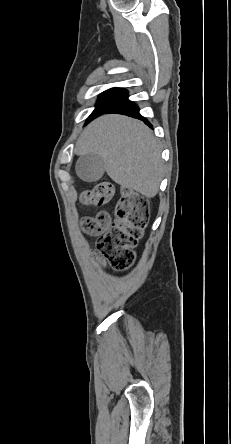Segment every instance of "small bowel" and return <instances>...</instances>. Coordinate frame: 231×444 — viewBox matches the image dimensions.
I'll return each mask as SVG.
<instances>
[{"mask_svg": "<svg viewBox=\"0 0 231 444\" xmlns=\"http://www.w3.org/2000/svg\"><path fill=\"white\" fill-rule=\"evenodd\" d=\"M96 257H97V259H98L100 262H103V258H102L101 256L96 255Z\"/></svg>", "mask_w": 231, "mask_h": 444, "instance_id": "c3829d8e", "label": "small bowel"}]
</instances>
